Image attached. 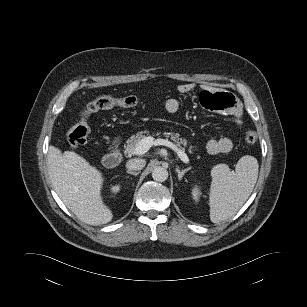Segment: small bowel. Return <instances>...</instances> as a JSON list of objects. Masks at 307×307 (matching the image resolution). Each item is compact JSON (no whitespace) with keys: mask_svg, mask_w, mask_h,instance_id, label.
Here are the masks:
<instances>
[{"mask_svg":"<svg viewBox=\"0 0 307 307\" xmlns=\"http://www.w3.org/2000/svg\"><path fill=\"white\" fill-rule=\"evenodd\" d=\"M203 91L200 93L201 105L209 110L221 111L225 114L232 115L235 119V125L240 128L243 124L241 109L236 98L228 92H216V89L210 85H204ZM180 94H188L195 90L192 83L180 84L177 88ZM165 110L169 113H175L180 107L177 98H169L164 103ZM233 148L232 135H226L221 138H211L207 142V150L212 155L228 153Z\"/></svg>","mask_w":307,"mask_h":307,"instance_id":"obj_1","label":"small bowel"}]
</instances>
